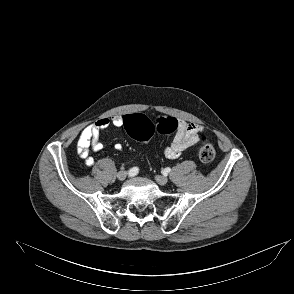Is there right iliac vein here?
<instances>
[{"instance_id": "obj_1", "label": "right iliac vein", "mask_w": 294, "mask_h": 294, "mask_svg": "<svg viewBox=\"0 0 294 294\" xmlns=\"http://www.w3.org/2000/svg\"><path fill=\"white\" fill-rule=\"evenodd\" d=\"M126 176H127V173H126L125 171H119V172L117 173V178H118V180H120V181L125 180Z\"/></svg>"}]
</instances>
